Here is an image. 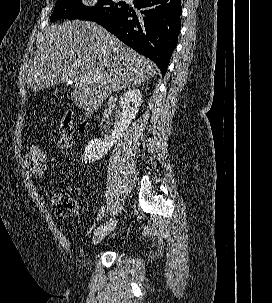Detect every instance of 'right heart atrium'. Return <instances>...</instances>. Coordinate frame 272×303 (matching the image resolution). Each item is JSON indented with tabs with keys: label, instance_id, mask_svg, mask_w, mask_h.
Wrapping results in <instances>:
<instances>
[{
	"label": "right heart atrium",
	"instance_id": "d8ad5b80",
	"mask_svg": "<svg viewBox=\"0 0 272 303\" xmlns=\"http://www.w3.org/2000/svg\"><path fill=\"white\" fill-rule=\"evenodd\" d=\"M85 2L90 5V6H93V5H96L97 4V0H85Z\"/></svg>",
	"mask_w": 272,
	"mask_h": 303
}]
</instances>
